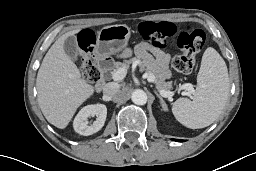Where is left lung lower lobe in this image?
Here are the masks:
<instances>
[{
  "instance_id": "obj_1",
  "label": "left lung lower lobe",
  "mask_w": 256,
  "mask_h": 171,
  "mask_svg": "<svg viewBox=\"0 0 256 171\" xmlns=\"http://www.w3.org/2000/svg\"><path fill=\"white\" fill-rule=\"evenodd\" d=\"M175 141H179V142L181 141L182 142V140H178V139H175Z\"/></svg>"
}]
</instances>
